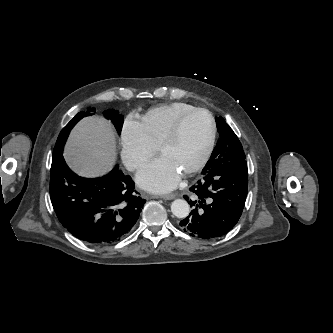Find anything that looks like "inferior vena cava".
Segmentation results:
<instances>
[{"mask_svg": "<svg viewBox=\"0 0 333 333\" xmlns=\"http://www.w3.org/2000/svg\"><path fill=\"white\" fill-rule=\"evenodd\" d=\"M133 169H134V167H133V166H131V167H130V170H133Z\"/></svg>", "mask_w": 333, "mask_h": 333, "instance_id": "inferior-vena-cava-1", "label": "inferior vena cava"}]
</instances>
